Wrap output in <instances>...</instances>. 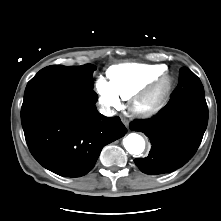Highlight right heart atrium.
<instances>
[{"mask_svg": "<svg viewBox=\"0 0 221 221\" xmlns=\"http://www.w3.org/2000/svg\"><path fill=\"white\" fill-rule=\"evenodd\" d=\"M100 104L108 112H113L121 105L119 96L115 93L109 82L99 78L95 84Z\"/></svg>", "mask_w": 221, "mask_h": 221, "instance_id": "right-heart-atrium-1", "label": "right heart atrium"}]
</instances>
